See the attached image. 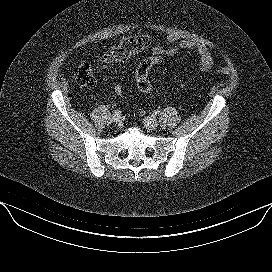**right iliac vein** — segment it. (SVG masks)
Instances as JSON below:
<instances>
[{"instance_id":"obj_1","label":"right iliac vein","mask_w":272,"mask_h":272,"mask_svg":"<svg viewBox=\"0 0 272 272\" xmlns=\"http://www.w3.org/2000/svg\"><path fill=\"white\" fill-rule=\"evenodd\" d=\"M112 121L114 124H119L121 122V117L120 116H113Z\"/></svg>"}]
</instances>
